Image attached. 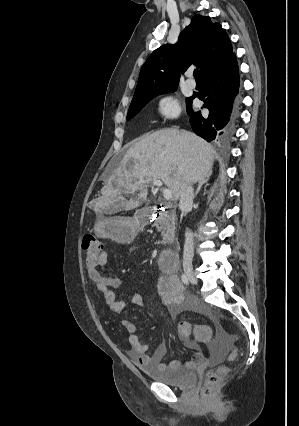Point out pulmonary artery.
Masks as SVG:
<instances>
[{"label":"pulmonary artery","mask_w":299,"mask_h":426,"mask_svg":"<svg viewBox=\"0 0 299 426\" xmlns=\"http://www.w3.org/2000/svg\"><path fill=\"white\" fill-rule=\"evenodd\" d=\"M187 85L190 87V88H195L196 87V82L190 77L188 80H187Z\"/></svg>","instance_id":"obj_1"}]
</instances>
